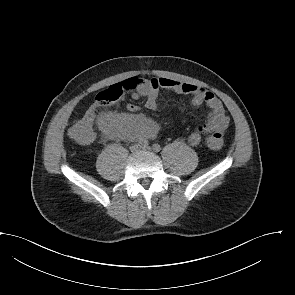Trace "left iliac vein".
Instances as JSON below:
<instances>
[{
  "label": "left iliac vein",
  "mask_w": 295,
  "mask_h": 295,
  "mask_svg": "<svg viewBox=\"0 0 295 295\" xmlns=\"http://www.w3.org/2000/svg\"><path fill=\"white\" fill-rule=\"evenodd\" d=\"M141 150L146 152H151L152 148L150 146H147V147H142Z\"/></svg>",
  "instance_id": "1"
}]
</instances>
